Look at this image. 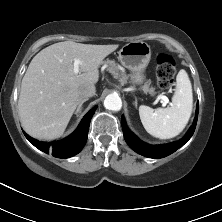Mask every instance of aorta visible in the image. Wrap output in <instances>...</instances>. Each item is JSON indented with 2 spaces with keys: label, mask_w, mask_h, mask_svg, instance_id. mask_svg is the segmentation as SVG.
I'll use <instances>...</instances> for the list:
<instances>
[{
  "label": "aorta",
  "mask_w": 222,
  "mask_h": 222,
  "mask_svg": "<svg viewBox=\"0 0 222 222\" xmlns=\"http://www.w3.org/2000/svg\"><path fill=\"white\" fill-rule=\"evenodd\" d=\"M104 107L111 111H119L122 107V101L118 94H109L104 100Z\"/></svg>",
  "instance_id": "762f6f07"
}]
</instances>
